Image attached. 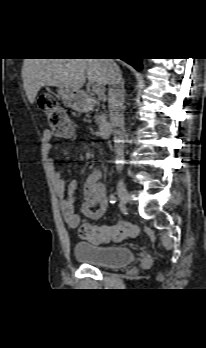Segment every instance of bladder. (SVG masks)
Here are the masks:
<instances>
[{"instance_id": "1", "label": "bladder", "mask_w": 206, "mask_h": 348, "mask_svg": "<svg viewBox=\"0 0 206 348\" xmlns=\"http://www.w3.org/2000/svg\"><path fill=\"white\" fill-rule=\"evenodd\" d=\"M74 256L81 262L105 267L126 265L135 261L130 248L117 245H97L77 242L73 248Z\"/></svg>"}]
</instances>
